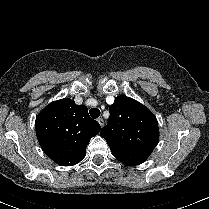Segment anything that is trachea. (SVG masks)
I'll list each match as a JSON object with an SVG mask.
<instances>
[{"label": "trachea", "mask_w": 209, "mask_h": 209, "mask_svg": "<svg viewBox=\"0 0 209 209\" xmlns=\"http://www.w3.org/2000/svg\"><path fill=\"white\" fill-rule=\"evenodd\" d=\"M89 113H90L91 117L94 119H96L100 116V110L97 108H92Z\"/></svg>", "instance_id": "trachea-1"}]
</instances>
